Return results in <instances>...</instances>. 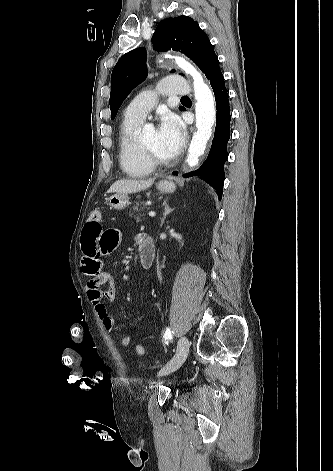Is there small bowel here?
<instances>
[{"instance_id":"small-bowel-1","label":"small bowel","mask_w":333,"mask_h":471,"mask_svg":"<svg viewBox=\"0 0 333 471\" xmlns=\"http://www.w3.org/2000/svg\"><path fill=\"white\" fill-rule=\"evenodd\" d=\"M147 237L140 235L137 242L140 244ZM121 241V234L116 229L102 230L100 220L93 222L90 219L85 223L81 236L82 260L81 270L89 277L86 284V293L89 301L108 331L114 329V320L109 315L105 300L112 301L115 297L114 278L111 272L103 269L102 257L114 250ZM107 285V289L104 286ZM131 337L126 335L120 340L123 347L129 346Z\"/></svg>"}]
</instances>
